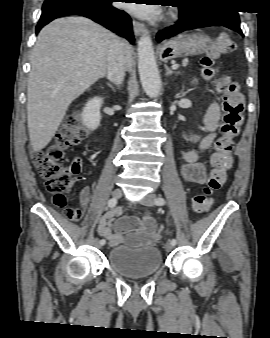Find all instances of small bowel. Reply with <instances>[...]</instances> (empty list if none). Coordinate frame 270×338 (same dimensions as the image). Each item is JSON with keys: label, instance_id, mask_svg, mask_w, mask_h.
Here are the masks:
<instances>
[{"label": "small bowel", "instance_id": "small-bowel-1", "mask_svg": "<svg viewBox=\"0 0 270 338\" xmlns=\"http://www.w3.org/2000/svg\"><path fill=\"white\" fill-rule=\"evenodd\" d=\"M220 106L217 102H212L206 112L204 118V127L211 133L205 137L200 147L208 149L213 139L216 136L215 130L220 118ZM190 141H197L198 136L190 133L187 135ZM183 166L181 169L182 176L185 180L190 182L202 183L205 181L206 169L199 161V156L195 151H185L182 154ZM75 167L80 169L79 158L76 157L73 163ZM91 190L85 187L81 190L79 195L80 206L86 209L90 203ZM119 214L118 210H111L103 215L98 226L99 234L108 239L112 244L135 243L141 242L146 245H154L160 239V233L157 231V225L150 215H145L142 219L133 216H123V219H128L132 222L138 223L140 227L135 229H128L124 226L122 221L115 222V217ZM82 218V215H81Z\"/></svg>", "mask_w": 270, "mask_h": 338}]
</instances>
